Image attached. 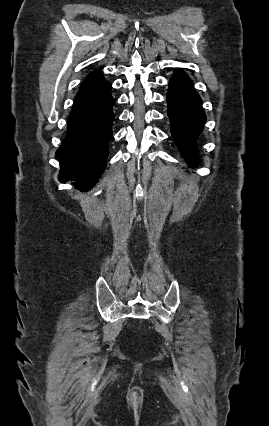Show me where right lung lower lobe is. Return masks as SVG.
I'll list each match as a JSON object with an SVG mask.
<instances>
[{"mask_svg":"<svg viewBox=\"0 0 269 426\" xmlns=\"http://www.w3.org/2000/svg\"><path fill=\"white\" fill-rule=\"evenodd\" d=\"M110 90L101 72L86 78L71 109L66 138L56 152L60 181L76 180L81 191L92 188L106 166L115 103Z\"/></svg>","mask_w":269,"mask_h":426,"instance_id":"98d812e1","label":"right lung lower lobe"}]
</instances>
